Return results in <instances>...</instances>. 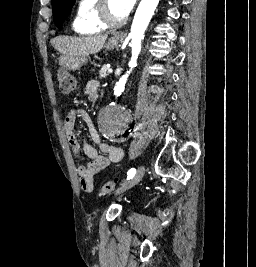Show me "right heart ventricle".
<instances>
[{
    "instance_id": "1",
    "label": "right heart ventricle",
    "mask_w": 256,
    "mask_h": 267,
    "mask_svg": "<svg viewBox=\"0 0 256 267\" xmlns=\"http://www.w3.org/2000/svg\"><path fill=\"white\" fill-rule=\"evenodd\" d=\"M84 5L78 19L73 24V30L80 36H102L104 29L98 23L97 14L100 0H82Z\"/></svg>"
}]
</instances>
